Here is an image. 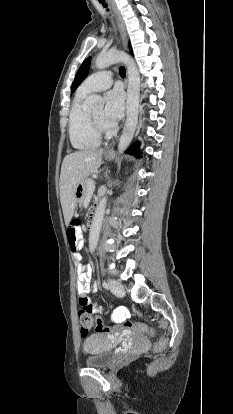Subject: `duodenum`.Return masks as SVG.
I'll return each mask as SVG.
<instances>
[{"instance_id":"duodenum-1","label":"duodenum","mask_w":233,"mask_h":414,"mask_svg":"<svg viewBox=\"0 0 233 414\" xmlns=\"http://www.w3.org/2000/svg\"><path fill=\"white\" fill-rule=\"evenodd\" d=\"M96 219V212L93 211L89 216V225H92Z\"/></svg>"}]
</instances>
